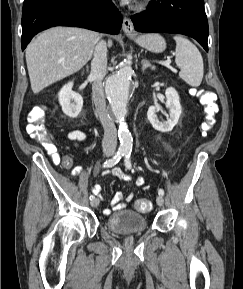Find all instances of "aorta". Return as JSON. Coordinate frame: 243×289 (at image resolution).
Segmentation results:
<instances>
[{
    "mask_svg": "<svg viewBox=\"0 0 243 289\" xmlns=\"http://www.w3.org/2000/svg\"><path fill=\"white\" fill-rule=\"evenodd\" d=\"M132 75L131 66L122 64L118 72L110 75L105 83V93L109 100L112 114L119 122L118 137L120 140L119 151L121 153L131 152L133 144L131 133L125 123Z\"/></svg>",
    "mask_w": 243,
    "mask_h": 289,
    "instance_id": "1",
    "label": "aorta"
}]
</instances>
